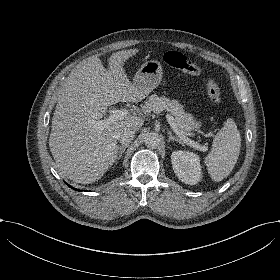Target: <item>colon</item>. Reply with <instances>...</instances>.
Masks as SVG:
<instances>
[{
	"mask_svg": "<svg viewBox=\"0 0 280 280\" xmlns=\"http://www.w3.org/2000/svg\"><path fill=\"white\" fill-rule=\"evenodd\" d=\"M166 63L174 66L177 69L187 72L190 75H196L200 71V65L196 61H191L185 54H178L175 50L166 52L163 56ZM208 97L213 103L221 102V91L217 83L213 79L207 80Z\"/></svg>",
	"mask_w": 280,
	"mask_h": 280,
	"instance_id": "1",
	"label": "colon"
}]
</instances>
